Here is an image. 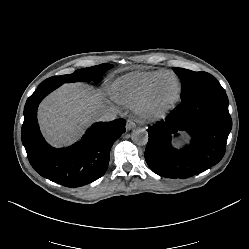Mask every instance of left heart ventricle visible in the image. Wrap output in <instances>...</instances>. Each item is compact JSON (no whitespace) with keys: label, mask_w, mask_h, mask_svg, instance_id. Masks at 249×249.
I'll list each match as a JSON object with an SVG mask.
<instances>
[{"label":"left heart ventricle","mask_w":249,"mask_h":249,"mask_svg":"<svg viewBox=\"0 0 249 249\" xmlns=\"http://www.w3.org/2000/svg\"><path fill=\"white\" fill-rule=\"evenodd\" d=\"M178 83L173 77L163 80L155 89L151 99L153 108L161 107L171 102L177 94Z\"/></svg>","instance_id":"b2bd125f"}]
</instances>
